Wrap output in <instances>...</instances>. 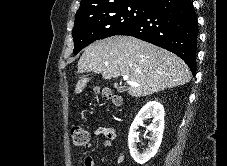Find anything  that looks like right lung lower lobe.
<instances>
[{"label":"right lung lower lobe","instance_id":"obj_1","mask_svg":"<svg viewBox=\"0 0 227 166\" xmlns=\"http://www.w3.org/2000/svg\"><path fill=\"white\" fill-rule=\"evenodd\" d=\"M117 35H129L167 49L196 70L198 23L191 0H155L147 13Z\"/></svg>","mask_w":227,"mask_h":166}]
</instances>
